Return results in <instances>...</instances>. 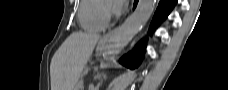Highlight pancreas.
Wrapping results in <instances>:
<instances>
[{
    "mask_svg": "<svg viewBox=\"0 0 228 90\" xmlns=\"http://www.w3.org/2000/svg\"><path fill=\"white\" fill-rule=\"evenodd\" d=\"M75 90H83V85L81 81L76 84Z\"/></svg>",
    "mask_w": 228,
    "mask_h": 90,
    "instance_id": "pancreas-1",
    "label": "pancreas"
}]
</instances>
